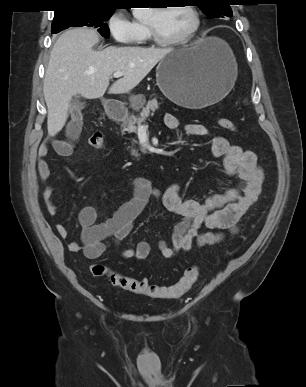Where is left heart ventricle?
I'll return each mask as SVG.
<instances>
[{
	"mask_svg": "<svg viewBox=\"0 0 306 387\" xmlns=\"http://www.w3.org/2000/svg\"><path fill=\"white\" fill-rule=\"evenodd\" d=\"M148 22L163 39L174 40L189 31L193 25V17L185 7H168L164 10H152Z\"/></svg>",
	"mask_w": 306,
	"mask_h": 387,
	"instance_id": "b2bd125f",
	"label": "left heart ventricle"
}]
</instances>
